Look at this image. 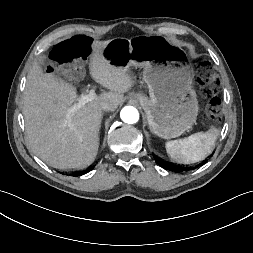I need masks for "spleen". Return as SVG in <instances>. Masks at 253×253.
Masks as SVG:
<instances>
[{
    "mask_svg": "<svg viewBox=\"0 0 253 253\" xmlns=\"http://www.w3.org/2000/svg\"><path fill=\"white\" fill-rule=\"evenodd\" d=\"M219 130L211 128L207 132H198L180 141H168L165 145L171 159L181 164H191L204 160L211 154Z\"/></svg>",
    "mask_w": 253,
    "mask_h": 253,
    "instance_id": "spleen-1",
    "label": "spleen"
}]
</instances>
